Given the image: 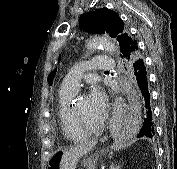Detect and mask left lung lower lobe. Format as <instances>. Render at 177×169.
<instances>
[{"instance_id": "1", "label": "left lung lower lobe", "mask_w": 177, "mask_h": 169, "mask_svg": "<svg viewBox=\"0 0 177 169\" xmlns=\"http://www.w3.org/2000/svg\"><path fill=\"white\" fill-rule=\"evenodd\" d=\"M138 50L137 42L130 47V56L133 57ZM128 68L133 72L136 81L137 95L143 106V124L137 137L152 138L155 135L152 109L150 104V93L148 88L147 70L144 60L137 58L133 63L128 64Z\"/></svg>"}]
</instances>
